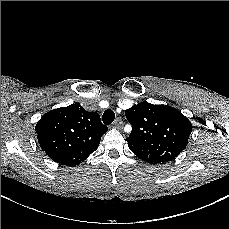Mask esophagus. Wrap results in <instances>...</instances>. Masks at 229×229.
<instances>
[{
    "label": "esophagus",
    "instance_id": "esophagus-1",
    "mask_svg": "<svg viewBox=\"0 0 229 229\" xmlns=\"http://www.w3.org/2000/svg\"><path fill=\"white\" fill-rule=\"evenodd\" d=\"M114 127L117 128V129H121L123 127V121L121 118H116L115 121H114Z\"/></svg>",
    "mask_w": 229,
    "mask_h": 229
}]
</instances>
